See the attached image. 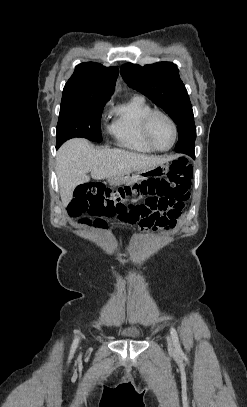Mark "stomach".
Wrapping results in <instances>:
<instances>
[{
	"label": "stomach",
	"mask_w": 247,
	"mask_h": 407,
	"mask_svg": "<svg viewBox=\"0 0 247 407\" xmlns=\"http://www.w3.org/2000/svg\"><path fill=\"white\" fill-rule=\"evenodd\" d=\"M169 170L168 165L159 166H138V169H130L129 174L116 175L108 178L111 185H120L129 181H138L143 178H153V176H164Z\"/></svg>",
	"instance_id": "1"
}]
</instances>
